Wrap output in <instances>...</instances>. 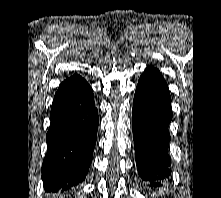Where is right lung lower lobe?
<instances>
[{
  "label": "right lung lower lobe",
  "instance_id": "98d812e1",
  "mask_svg": "<svg viewBox=\"0 0 221 198\" xmlns=\"http://www.w3.org/2000/svg\"><path fill=\"white\" fill-rule=\"evenodd\" d=\"M50 119L43 186L64 191L85 179L97 139L98 110L92 88L84 78L75 74L60 84Z\"/></svg>",
  "mask_w": 221,
  "mask_h": 198
}]
</instances>
